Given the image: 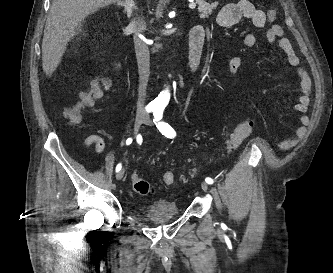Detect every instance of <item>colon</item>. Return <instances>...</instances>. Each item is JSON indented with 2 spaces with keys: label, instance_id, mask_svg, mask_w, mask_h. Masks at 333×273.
<instances>
[{
  "label": "colon",
  "instance_id": "obj_1",
  "mask_svg": "<svg viewBox=\"0 0 333 273\" xmlns=\"http://www.w3.org/2000/svg\"><path fill=\"white\" fill-rule=\"evenodd\" d=\"M276 16L277 12L275 9L267 10V18L269 21H274ZM108 86L109 80L105 78L94 82L90 89L83 92L80 95L79 101L66 110V117L69 119L70 123H78L81 119L82 109L91 107L95 100L102 96L103 90ZM254 124L255 121L253 119H245L236 125L226 141L225 147L227 152L235 151L243 143V141L250 135ZM131 181L134 190L141 195H147L152 191L150 184L141 178L137 173L132 174ZM163 181L166 185L173 184L175 182L174 173L171 171L164 173Z\"/></svg>",
  "mask_w": 333,
  "mask_h": 273
}]
</instances>
